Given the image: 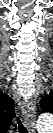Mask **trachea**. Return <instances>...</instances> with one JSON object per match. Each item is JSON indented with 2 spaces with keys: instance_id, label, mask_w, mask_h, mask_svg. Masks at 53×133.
Segmentation results:
<instances>
[{
  "instance_id": "obj_1",
  "label": "trachea",
  "mask_w": 53,
  "mask_h": 133,
  "mask_svg": "<svg viewBox=\"0 0 53 133\" xmlns=\"http://www.w3.org/2000/svg\"><path fill=\"white\" fill-rule=\"evenodd\" d=\"M19 133H29L27 128L22 124L21 120H18Z\"/></svg>"
}]
</instances>
